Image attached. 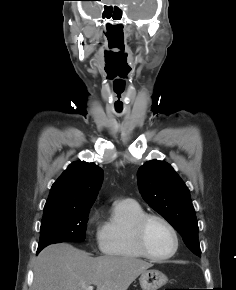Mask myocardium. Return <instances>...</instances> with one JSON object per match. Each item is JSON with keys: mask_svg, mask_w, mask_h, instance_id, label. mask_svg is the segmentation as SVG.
Listing matches in <instances>:
<instances>
[{"mask_svg": "<svg viewBox=\"0 0 236 290\" xmlns=\"http://www.w3.org/2000/svg\"><path fill=\"white\" fill-rule=\"evenodd\" d=\"M152 220H157V221H160L161 223H163L172 234V237L174 240V246H173L172 251L167 255H163V256L154 255L153 253L150 252V250L147 247L146 227H147L148 223ZM133 232H134V238H135V242H136L138 250L140 251V253L144 257H146L148 259H151L154 261H165V260L172 258L178 251L179 236H178L177 230L175 229V227L172 225V223L168 219H166L165 217H163L159 214H155V213L143 214L135 222L134 227H133Z\"/></svg>", "mask_w": 236, "mask_h": 290, "instance_id": "1", "label": "myocardium"}]
</instances>
